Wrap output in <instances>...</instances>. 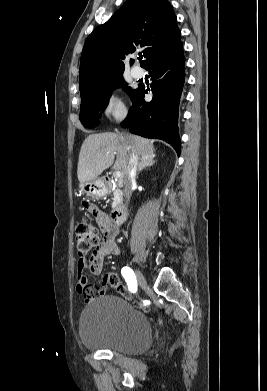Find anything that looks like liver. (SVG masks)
Returning <instances> with one entry per match:
<instances>
[{
    "mask_svg": "<svg viewBox=\"0 0 267 391\" xmlns=\"http://www.w3.org/2000/svg\"><path fill=\"white\" fill-rule=\"evenodd\" d=\"M130 147L141 157L154 158L155 148L151 140L137 135H118L111 132L91 134L83 142L79 153L77 176L80 183L98 178L113 165L124 177L129 160Z\"/></svg>",
    "mask_w": 267,
    "mask_h": 391,
    "instance_id": "liver-1",
    "label": "liver"
}]
</instances>
